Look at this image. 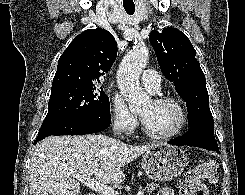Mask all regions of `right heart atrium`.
Masks as SVG:
<instances>
[{
	"label": "right heart atrium",
	"instance_id": "1",
	"mask_svg": "<svg viewBox=\"0 0 245 195\" xmlns=\"http://www.w3.org/2000/svg\"><path fill=\"white\" fill-rule=\"evenodd\" d=\"M110 117L117 129L127 133L132 132L138 124L137 117L118 94L110 97Z\"/></svg>",
	"mask_w": 245,
	"mask_h": 195
}]
</instances>
